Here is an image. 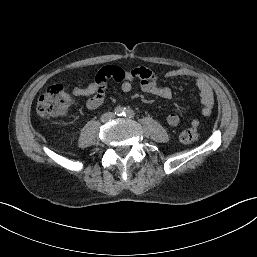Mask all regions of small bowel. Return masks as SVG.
<instances>
[{
	"mask_svg": "<svg viewBox=\"0 0 257 257\" xmlns=\"http://www.w3.org/2000/svg\"><path fill=\"white\" fill-rule=\"evenodd\" d=\"M103 74L108 79H113L120 83L122 91L129 92L137 83L139 89L148 94H152L162 99H170L172 90L167 86L158 83L157 75L150 69L143 66H136L124 69L115 65L104 66L99 70L96 77ZM168 78H187L190 79L200 96L202 104V114L206 117L212 114L214 107V94L209 83L199 74L188 69H174L165 74ZM96 77L85 87H75L73 94L77 97H87L86 107L90 110L99 108L105 100L106 86L100 87L96 82ZM166 123L170 127H176L180 123V117L176 113H171L166 117ZM193 127L199 125L197 119L191 121Z\"/></svg>",
	"mask_w": 257,
	"mask_h": 257,
	"instance_id": "obj_1",
	"label": "small bowel"
}]
</instances>
